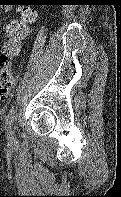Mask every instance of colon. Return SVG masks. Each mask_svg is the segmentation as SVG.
<instances>
[{
    "label": "colon",
    "instance_id": "1",
    "mask_svg": "<svg viewBox=\"0 0 121 197\" xmlns=\"http://www.w3.org/2000/svg\"><path fill=\"white\" fill-rule=\"evenodd\" d=\"M20 17L9 23L6 28V40L0 50V100H5L13 89L11 60L18 53L22 41L28 33V26L36 18L35 10L18 4Z\"/></svg>",
    "mask_w": 121,
    "mask_h": 197
}]
</instances>
